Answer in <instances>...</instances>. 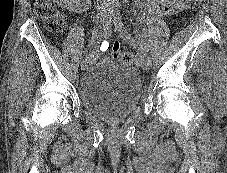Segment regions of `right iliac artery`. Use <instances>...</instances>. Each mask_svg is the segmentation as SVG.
<instances>
[{
	"label": "right iliac artery",
	"mask_w": 227,
	"mask_h": 173,
	"mask_svg": "<svg viewBox=\"0 0 227 173\" xmlns=\"http://www.w3.org/2000/svg\"><path fill=\"white\" fill-rule=\"evenodd\" d=\"M103 33L105 37L110 36L111 34V17L110 19L105 23V25L103 26ZM84 59H82L83 61Z\"/></svg>",
	"instance_id": "right-iliac-artery-1"
}]
</instances>
